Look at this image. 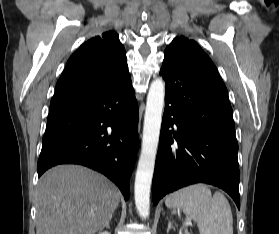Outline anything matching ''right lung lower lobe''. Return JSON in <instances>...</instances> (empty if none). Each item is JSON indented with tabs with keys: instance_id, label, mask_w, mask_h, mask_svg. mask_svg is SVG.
I'll return each instance as SVG.
<instances>
[{
	"instance_id": "1",
	"label": "right lung lower lobe",
	"mask_w": 279,
	"mask_h": 234,
	"mask_svg": "<svg viewBox=\"0 0 279 234\" xmlns=\"http://www.w3.org/2000/svg\"><path fill=\"white\" fill-rule=\"evenodd\" d=\"M138 105L130 74L80 97L50 105L38 176L58 164H80L111 179L129 198L138 147Z\"/></svg>"
}]
</instances>
